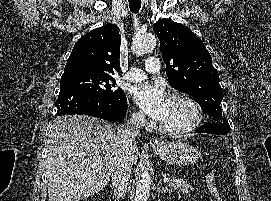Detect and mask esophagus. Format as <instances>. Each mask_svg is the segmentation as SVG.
Segmentation results:
<instances>
[{
    "instance_id": "esophagus-1",
    "label": "esophagus",
    "mask_w": 271,
    "mask_h": 201,
    "mask_svg": "<svg viewBox=\"0 0 271 201\" xmlns=\"http://www.w3.org/2000/svg\"><path fill=\"white\" fill-rule=\"evenodd\" d=\"M151 144L154 145V146H159V145L162 144V142L159 139H157V138H153L151 140Z\"/></svg>"
}]
</instances>
